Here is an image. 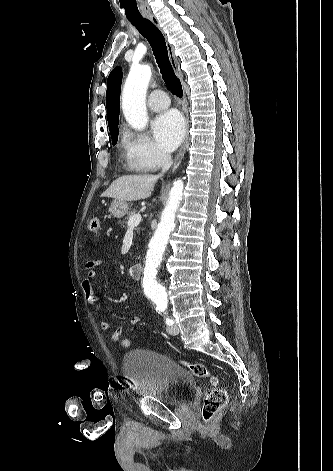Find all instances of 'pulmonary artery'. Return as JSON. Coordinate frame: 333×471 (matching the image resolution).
Instances as JSON below:
<instances>
[{"label":"pulmonary artery","mask_w":333,"mask_h":471,"mask_svg":"<svg viewBox=\"0 0 333 471\" xmlns=\"http://www.w3.org/2000/svg\"><path fill=\"white\" fill-rule=\"evenodd\" d=\"M148 107L152 111H162L170 105V100L167 94L161 90L153 91L147 101Z\"/></svg>","instance_id":"obj_1"}]
</instances>
